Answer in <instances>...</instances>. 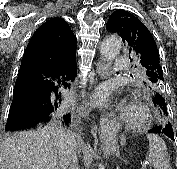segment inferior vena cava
<instances>
[{"mask_svg": "<svg viewBox=\"0 0 177 169\" xmlns=\"http://www.w3.org/2000/svg\"><path fill=\"white\" fill-rule=\"evenodd\" d=\"M77 141L73 134L64 133L60 140L58 150L60 156V169H78Z\"/></svg>", "mask_w": 177, "mask_h": 169, "instance_id": "obj_1", "label": "inferior vena cava"}]
</instances>
